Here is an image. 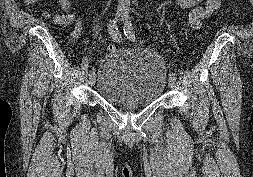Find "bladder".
I'll return each mask as SVG.
<instances>
[{"label": "bladder", "instance_id": "1", "mask_svg": "<svg viewBox=\"0 0 253 177\" xmlns=\"http://www.w3.org/2000/svg\"><path fill=\"white\" fill-rule=\"evenodd\" d=\"M95 82L98 95L109 103L150 105L163 93L165 66L151 50H114L101 61Z\"/></svg>", "mask_w": 253, "mask_h": 177}]
</instances>
